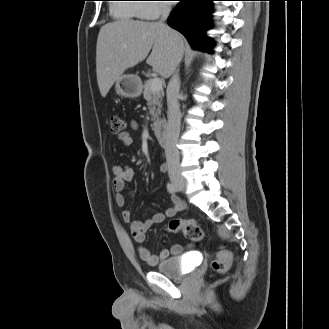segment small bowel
<instances>
[{"label":"small bowel","instance_id":"obj_1","mask_svg":"<svg viewBox=\"0 0 329 329\" xmlns=\"http://www.w3.org/2000/svg\"><path fill=\"white\" fill-rule=\"evenodd\" d=\"M137 128V124L132 125ZM119 141L123 145L132 144V135L130 132H124L119 134ZM160 171L166 172L167 166L165 164L160 165ZM113 174V188L116 192L115 202L119 207H124L126 204V197L123 193L126 183L133 180L135 176V170L131 167L125 166L121 163L112 167ZM172 206L168 208L164 213L155 212L152 216L144 221H133L131 211L127 208H123L121 211L122 219L129 224V229L132 237L138 243L137 253L141 260L145 261L149 265H156L158 261L169 257L170 255H176L184 250V247L180 244H175L170 250L161 249L158 254H151L149 249L143 245L145 240V233L152 226L162 223L166 218H172L176 216L182 209L183 204L177 196H171Z\"/></svg>","mask_w":329,"mask_h":329}]
</instances>
